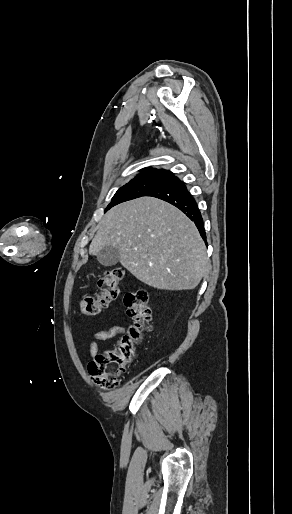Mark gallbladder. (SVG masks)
Masks as SVG:
<instances>
[{"mask_svg":"<svg viewBox=\"0 0 292 514\" xmlns=\"http://www.w3.org/2000/svg\"><path fill=\"white\" fill-rule=\"evenodd\" d=\"M97 260L102 266H115L120 260L119 252L114 246H104L99 250Z\"/></svg>","mask_w":292,"mask_h":514,"instance_id":"obj_1","label":"gallbladder"}]
</instances>
